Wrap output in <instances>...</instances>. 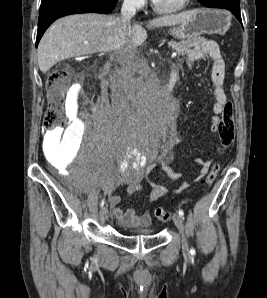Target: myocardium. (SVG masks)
Listing matches in <instances>:
<instances>
[{
  "label": "myocardium",
  "instance_id": "obj_1",
  "mask_svg": "<svg viewBox=\"0 0 267 298\" xmlns=\"http://www.w3.org/2000/svg\"><path fill=\"white\" fill-rule=\"evenodd\" d=\"M191 0H183L182 3L175 9H162L160 8L155 1L152 2V7L154 9L155 12L159 13V14H163V15H174V14H178L181 13L184 9H186V7L189 5Z\"/></svg>",
  "mask_w": 267,
  "mask_h": 298
}]
</instances>
